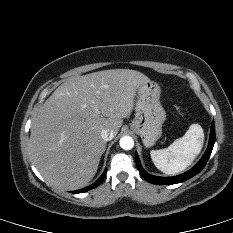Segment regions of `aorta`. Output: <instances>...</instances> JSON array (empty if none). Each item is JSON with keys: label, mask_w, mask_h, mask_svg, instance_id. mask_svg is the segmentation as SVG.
I'll list each match as a JSON object with an SVG mask.
<instances>
[{"label": "aorta", "mask_w": 233, "mask_h": 233, "mask_svg": "<svg viewBox=\"0 0 233 233\" xmlns=\"http://www.w3.org/2000/svg\"><path fill=\"white\" fill-rule=\"evenodd\" d=\"M120 147L124 150H130L134 146V140L130 136H124L119 141Z\"/></svg>", "instance_id": "obj_1"}]
</instances>
